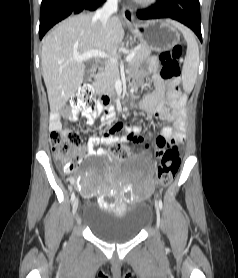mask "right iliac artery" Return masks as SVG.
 Here are the masks:
<instances>
[{
    "label": "right iliac artery",
    "mask_w": 238,
    "mask_h": 278,
    "mask_svg": "<svg viewBox=\"0 0 238 278\" xmlns=\"http://www.w3.org/2000/svg\"><path fill=\"white\" fill-rule=\"evenodd\" d=\"M75 200V194H74V192H72V194H71V201L73 202Z\"/></svg>",
    "instance_id": "82829eb1"
}]
</instances>
